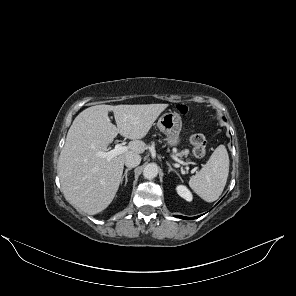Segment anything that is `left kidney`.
I'll return each mask as SVG.
<instances>
[{
    "label": "left kidney",
    "instance_id": "1",
    "mask_svg": "<svg viewBox=\"0 0 296 296\" xmlns=\"http://www.w3.org/2000/svg\"><path fill=\"white\" fill-rule=\"evenodd\" d=\"M176 191L178 195L184 198L186 201H192L193 199L192 193L189 191V189L186 186L178 185L176 187Z\"/></svg>",
    "mask_w": 296,
    "mask_h": 296
}]
</instances>
